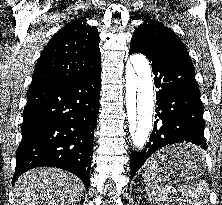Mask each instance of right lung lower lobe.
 Instances as JSON below:
<instances>
[{"label": "right lung lower lobe", "mask_w": 222, "mask_h": 205, "mask_svg": "<svg viewBox=\"0 0 222 205\" xmlns=\"http://www.w3.org/2000/svg\"><path fill=\"white\" fill-rule=\"evenodd\" d=\"M100 76L101 68L78 79L29 88L13 183L29 169L49 166L77 175L88 190Z\"/></svg>", "instance_id": "98d812e1"}]
</instances>
